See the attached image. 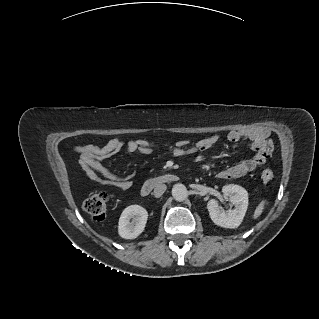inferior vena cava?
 <instances>
[{
    "mask_svg": "<svg viewBox=\"0 0 319 319\" xmlns=\"http://www.w3.org/2000/svg\"><path fill=\"white\" fill-rule=\"evenodd\" d=\"M167 186L165 184H159L154 188L153 194L156 198H159L166 191Z\"/></svg>",
    "mask_w": 319,
    "mask_h": 319,
    "instance_id": "inferior-vena-cava-1",
    "label": "inferior vena cava"
}]
</instances>
